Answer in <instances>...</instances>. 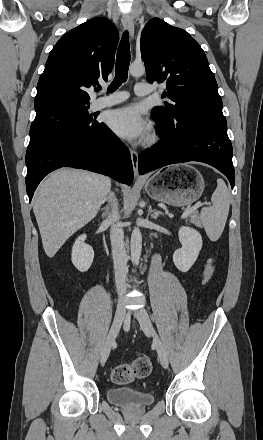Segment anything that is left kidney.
<instances>
[{
    "instance_id": "1",
    "label": "left kidney",
    "mask_w": 263,
    "mask_h": 440,
    "mask_svg": "<svg viewBox=\"0 0 263 440\" xmlns=\"http://www.w3.org/2000/svg\"><path fill=\"white\" fill-rule=\"evenodd\" d=\"M179 240L182 248L173 254V262L178 270L187 272L196 262L202 248V236L193 228L183 226L179 229Z\"/></svg>"
}]
</instances>
